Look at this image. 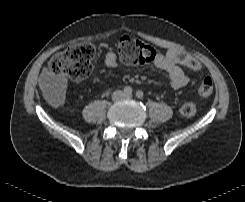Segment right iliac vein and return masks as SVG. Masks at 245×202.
<instances>
[{
	"label": "right iliac vein",
	"instance_id": "1",
	"mask_svg": "<svg viewBox=\"0 0 245 202\" xmlns=\"http://www.w3.org/2000/svg\"><path fill=\"white\" fill-rule=\"evenodd\" d=\"M123 93L121 91H118L116 92L114 95H113V100L114 101H119L122 97H123Z\"/></svg>",
	"mask_w": 245,
	"mask_h": 202
}]
</instances>
